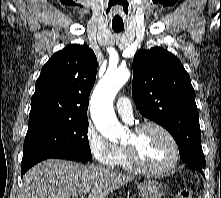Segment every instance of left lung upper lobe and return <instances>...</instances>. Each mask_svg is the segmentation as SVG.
<instances>
[{"mask_svg": "<svg viewBox=\"0 0 221 198\" xmlns=\"http://www.w3.org/2000/svg\"><path fill=\"white\" fill-rule=\"evenodd\" d=\"M132 96L143 116L170 132L182 160L203 169L195 91L179 59L160 47L138 51L133 60Z\"/></svg>", "mask_w": 221, "mask_h": 198, "instance_id": "1", "label": "left lung upper lobe"}]
</instances>
